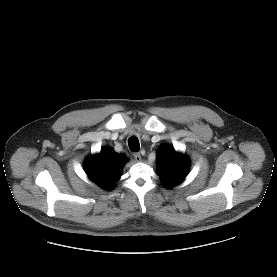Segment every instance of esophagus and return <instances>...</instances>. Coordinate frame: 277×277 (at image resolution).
<instances>
[{"mask_svg": "<svg viewBox=\"0 0 277 277\" xmlns=\"http://www.w3.org/2000/svg\"><path fill=\"white\" fill-rule=\"evenodd\" d=\"M133 156H134V158H135V160L136 161H141V155H140V153L139 152H135L134 154H133Z\"/></svg>", "mask_w": 277, "mask_h": 277, "instance_id": "34e87169", "label": "esophagus"}]
</instances>
